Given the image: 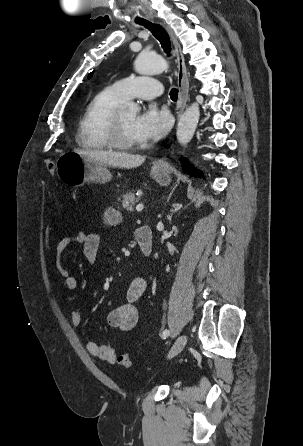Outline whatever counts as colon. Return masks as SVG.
Wrapping results in <instances>:
<instances>
[{"mask_svg": "<svg viewBox=\"0 0 303 446\" xmlns=\"http://www.w3.org/2000/svg\"><path fill=\"white\" fill-rule=\"evenodd\" d=\"M45 164H46V167H47L48 171L51 174H54L55 173V164H54V162L52 160H50V159H46L45 160ZM118 361H119V363L123 367H130L131 366V358H130V355L127 354V353L120 355Z\"/></svg>", "mask_w": 303, "mask_h": 446, "instance_id": "colon-1", "label": "colon"}]
</instances>
